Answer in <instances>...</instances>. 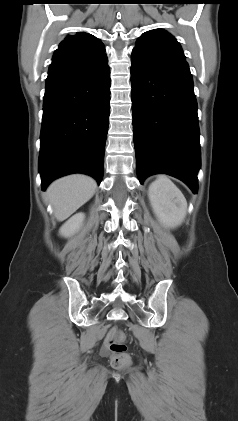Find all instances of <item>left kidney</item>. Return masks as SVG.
<instances>
[{"label":"left kidney","instance_id":"5707ae66","mask_svg":"<svg viewBox=\"0 0 238 421\" xmlns=\"http://www.w3.org/2000/svg\"><path fill=\"white\" fill-rule=\"evenodd\" d=\"M149 200L158 220L168 228H175L184 221L187 202L182 192L161 176L149 186Z\"/></svg>","mask_w":238,"mask_h":421}]
</instances>
